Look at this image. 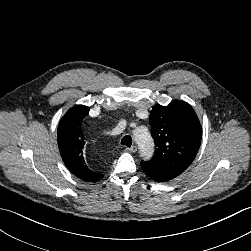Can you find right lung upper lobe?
<instances>
[{"mask_svg":"<svg viewBox=\"0 0 251 251\" xmlns=\"http://www.w3.org/2000/svg\"><path fill=\"white\" fill-rule=\"evenodd\" d=\"M89 110V107L84 105H78L68 110L59 122L57 141L61 157L67 168L82 180L96 182L102 179L103 175L91 170L83 155L85 136L81 124Z\"/></svg>","mask_w":251,"mask_h":251,"instance_id":"obj_1","label":"right lung upper lobe"}]
</instances>
